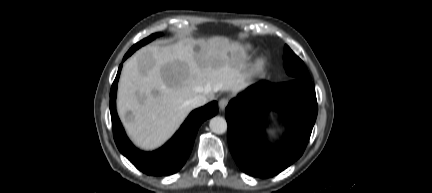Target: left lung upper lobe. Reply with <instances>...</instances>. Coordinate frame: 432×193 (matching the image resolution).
Segmentation results:
<instances>
[{
    "label": "left lung upper lobe",
    "mask_w": 432,
    "mask_h": 193,
    "mask_svg": "<svg viewBox=\"0 0 432 193\" xmlns=\"http://www.w3.org/2000/svg\"><path fill=\"white\" fill-rule=\"evenodd\" d=\"M283 60L285 70L292 79L311 80L302 60L287 45L284 47Z\"/></svg>",
    "instance_id": "obj_1"
}]
</instances>
